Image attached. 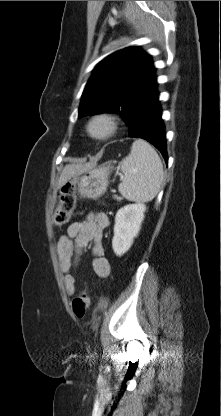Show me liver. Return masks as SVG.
<instances>
[{"instance_id":"liver-1","label":"liver","mask_w":221,"mask_h":416,"mask_svg":"<svg viewBox=\"0 0 221 416\" xmlns=\"http://www.w3.org/2000/svg\"><path fill=\"white\" fill-rule=\"evenodd\" d=\"M94 166L93 163L85 164H68L64 167L58 180L57 188H61L66 182L74 176L80 175Z\"/></svg>"}]
</instances>
